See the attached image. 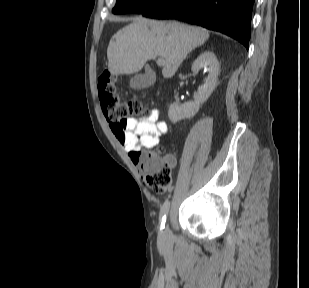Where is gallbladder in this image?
<instances>
[{
	"instance_id": "1",
	"label": "gallbladder",
	"mask_w": 309,
	"mask_h": 288,
	"mask_svg": "<svg viewBox=\"0 0 309 288\" xmlns=\"http://www.w3.org/2000/svg\"><path fill=\"white\" fill-rule=\"evenodd\" d=\"M154 82L155 73L149 67H146L145 74H135L130 79V87L135 90H141L153 85Z\"/></svg>"
}]
</instances>
